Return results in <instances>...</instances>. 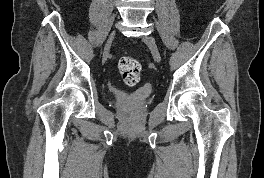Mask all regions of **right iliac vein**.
<instances>
[{"mask_svg": "<svg viewBox=\"0 0 264 178\" xmlns=\"http://www.w3.org/2000/svg\"><path fill=\"white\" fill-rule=\"evenodd\" d=\"M116 35V32L115 31H112L107 39V42L105 44V47H104V54L107 55L110 51V47H111V44L114 40V37Z\"/></svg>", "mask_w": 264, "mask_h": 178, "instance_id": "obj_1", "label": "right iliac vein"}]
</instances>
